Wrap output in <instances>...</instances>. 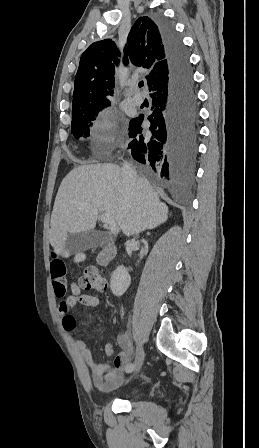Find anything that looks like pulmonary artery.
<instances>
[{
	"label": "pulmonary artery",
	"mask_w": 259,
	"mask_h": 448,
	"mask_svg": "<svg viewBox=\"0 0 259 448\" xmlns=\"http://www.w3.org/2000/svg\"><path fill=\"white\" fill-rule=\"evenodd\" d=\"M132 88H137L138 87V82L134 81L131 85ZM130 100L135 102L136 104H141L143 101V98L140 95H135V96H131Z\"/></svg>",
	"instance_id": "pulmonary-artery-1"
}]
</instances>
